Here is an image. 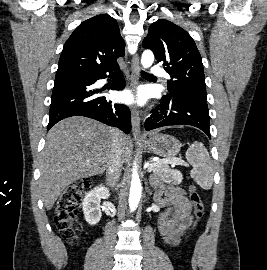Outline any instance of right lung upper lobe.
<instances>
[{
	"instance_id": "obj_1",
	"label": "right lung upper lobe",
	"mask_w": 267,
	"mask_h": 270,
	"mask_svg": "<svg viewBox=\"0 0 267 270\" xmlns=\"http://www.w3.org/2000/svg\"><path fill=\"white\" fill-rule=\"evenodd\" d=\"M124 46L117 21L106 14L94 16L82 22L66 41L56 77L109 70L125 55Z\"/></svg>"
}]
</instances>
